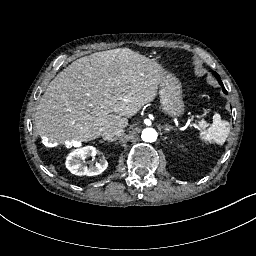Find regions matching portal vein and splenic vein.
<instances>
[{"mask_svg": "<svg viewBox=\"0 0 256 256\" xmlns=\"http://www.w3.org/2000/svg\"><path fill=\"white\" fill-rule=\"evenodd\" d=\"M191 128H192V129H195V130H198V131H202V130H203V127H202V126H198V125H196V124H192V125H191Z\"/></svg>", "mask_w": 256, "mask_h": 256, "instance_id": "portal-vein-and-splenic-vein-1", "label": "portal vein and splenic vein"}]
</instances>
